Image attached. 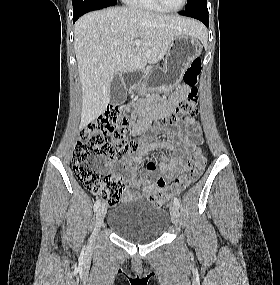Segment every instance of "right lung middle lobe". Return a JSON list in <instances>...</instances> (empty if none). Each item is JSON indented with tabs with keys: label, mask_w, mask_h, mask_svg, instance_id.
I'll list each match as a JSON object with an SVG mask.
<instances>
[{
	"label": "right lung middle lobe",
	"mask_w": 280,
	"mask_h": 285,
	"mask_svg": "<svg viewBox=\"0 0 280 285\" xmlns=\"http://www.w3.org/2000/svg\"><path fill=\"white\" fill-rule=\"evenodd\" d=\"M73 13L83 10H93L99 7L113 6L117 0H72Z\"/></svg>",
	"instance_id": "dd1d6c3e"
}]
</instances>
